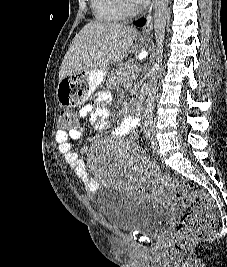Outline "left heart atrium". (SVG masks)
Wrapping results in <instances>:
<instances>
[{
	"label": "left heart atrium",
	"instance_id": "obj_1",
	"mask_svg": "<svg viewBox=\"0 0 227 267\" xmlns=\"http://www.w3.org/2000/svg\"><path fill=\"white\" fill-rule=\"evenodd\" d=\"M131 2L134 5L142 6V5H145L148 2V0H131Z\"/></svg>",
	"mask_w": 227,
	"mask_h": 267
}]
</instances>
